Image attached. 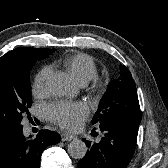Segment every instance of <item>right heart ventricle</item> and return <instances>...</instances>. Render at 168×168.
I'll list each match as a JSON object with an SVG mask.
<instances>
[{"label":"right heart ventricle","instance_id":"1","mask_svg":"<svg viewBox=\"0 0 168 168\" xmlns=\"http://www.w3.org/2000/svg\"><path fill=\"white\" fill-rule=\"evenodd\" d=\"M62 65L80 84L88 83L97 74L94 59L85 53L67 55L63 58Z\"/></svg>","mask_w":168,"mask_h":168}]
</instances>
